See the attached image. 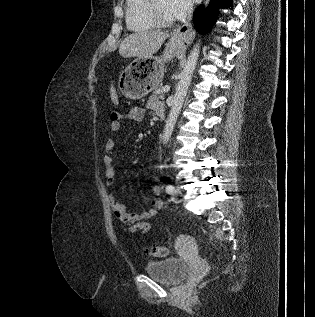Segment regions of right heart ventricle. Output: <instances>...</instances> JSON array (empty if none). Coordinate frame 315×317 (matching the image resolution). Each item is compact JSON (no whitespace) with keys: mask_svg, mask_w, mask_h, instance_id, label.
I'll return each instance as SVG.
<instances>
[{"mask_svg":"<svg viewBox=\"0 0 315 317\" xmlns=\"http://www.w3.org/2000/svg\"><path fill=\"white\" fill-rule=\"evenodd\" d=\"M148 4L149 0H126L125 22L130 31L144 32L156 27L150 18Z\"/></svg>","mask_w":315,"mask_h":317,"instance_id":"1","label":"right heart ventricle"}]
</instances>
